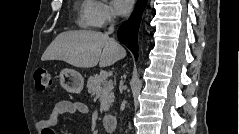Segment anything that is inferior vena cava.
Listing matches in <instances>:
<instances>
[{"mask_svg":"<svg viewBox=\"0 0 239 134\" xmlns=\"http://www.w3.org/2000/svg\"><path fill=\"white\" fill-rule=\"evenodd\" d=\"M114 31V25L111 24V26L108 28L107 34H111Z\"/></svg>","mask_w":239,"mask_h":134,"instance_id":"inferior-vena-cava-1","label":"inferior vena cava"}]
</instances>
